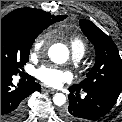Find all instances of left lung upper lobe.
<instances>
[{"mask_svg": "<svg viewBox=\"0 0 122 122\" xmlns=\"http://www.w3.org/2000/svg\"><path fill=\"white\" fill-rule=\"evenodd\" d=\"M85 36L93 43L96 62L87 78L72 87L86 91L107 89L115 92L122 90V60L113 40L89 20H80Z\"/></svg>", "mask_w": 122, "mask_h": 122, "instance_id": "5c2ea615", "label": "left lung upper lobe"}]
</instances>
